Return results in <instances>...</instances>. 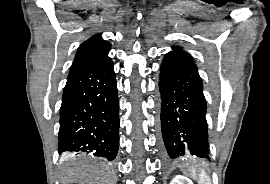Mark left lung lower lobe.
Listing matches in <instances>:
<instances>
[{
	"label": "left lung lower lobe",
	"instance_id": "obj_1",
	"mask_svg": "<svg viewBox=\"0 0 270 184\" xmlns=\"http://www.w3.org/2000/svg\"><path fill=\"white\" fill-rule=\"evenodd\" d=\"M206 108L195 63L182 53H167L159 80V145L167 163L210 160Z\"/></svg>",
	"mask_w": 270,
	"mask_h": 184
}]
</instances>
